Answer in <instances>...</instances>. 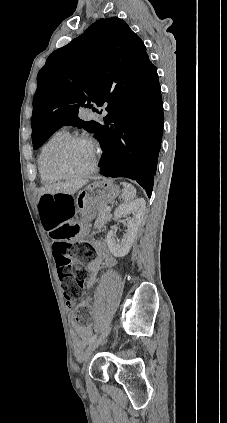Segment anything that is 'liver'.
I'll use <instances>...</instances> for the list:
<instances>
[{"mask_svg": "<svg viewBox=\"0 0 227 423\" xmlns=\"http://www.w3.org/2000/svg\"><path fill=\"white\" fill-rule=\"evenodd\" d=\"M84 184L85 182H58V184L51 182V184H46L42 188L40 196H43V194H51V196H54V194H71L73 196Z\"/></svg>", "mask_w": 227, "mask_h": 423, "instance_id": "obj_1", "label": "liver"}]
</instances>
